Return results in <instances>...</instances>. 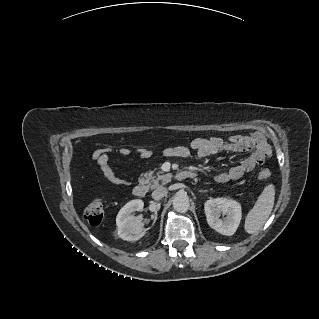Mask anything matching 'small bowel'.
Returning a JSON list of instances; mask_svg holds the SVG:
<instances>
[{
    "label": "small bowel",
    "mask_w": 319,
    "mask_h": 319,
    "mask_svg": "<svg viewBox=\"0 0 319 319\" xmlns=\"http://www.w3.org/2000/svg\"><path fill=\"white\" fill-rule=\"evenodd\" d=\"M266 150L269 151L263 134L256 132L247 136L236 135L229 138H195L186 145L166 148L164 155L169 158H185L190 155L207 158L221 153L251 152L239 164L215 175L216 182L226 183L240 179L244 174L253 171L256 166L263 164L269 155ZM113 152L121 156H128L131 149L126 145L99 148L93 152L92 158L109 182L117 186H126L127 181L111 165L110 158ZM151 154V150L147 147L138 149V155L143 160L149 159Z\"/></svg>",
    "instance_id": "small-bowel-1"
}]
</instances>
